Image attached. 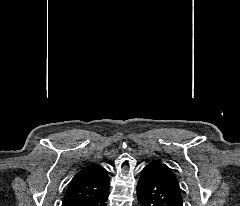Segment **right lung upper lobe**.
I'll return each mask as SVG.
<instances>
[{"label":"right lung upper lobe","mask_w":240,"mask_h":206,"mask_svg":"<svg viewBox=\"0 0 240 206\" xmlns=\"http://www.w3.org/2000/svg\"><path fill=\"white\" fill-rule=\"evenodd\" d=\"M108 189L109 176L107 171L99 165H88L71 180L62 206H81Z\"/></svg>","instance_id":"obj_1"}]
</instances>
